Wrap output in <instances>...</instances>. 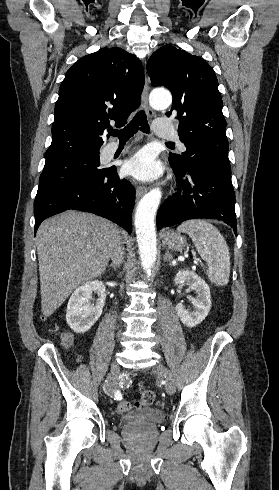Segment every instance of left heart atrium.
<instances>
[{
    "mask_svg": "<svg viewBox=\"0 0 279 490\" xmlns=\"http://www.w3.org/2000/svg\"><path fill=\"white\" fill-rule=\"evenodd\" d=\"M125 173L139 182H153L163 173L162 164L148 150H141L124 164Z\"/></svg>",
    "mask_w": 279,
    "mask_h": 490,
    "instance_id": "1",
    "label": "left heart atrium"
}]
</instances>
